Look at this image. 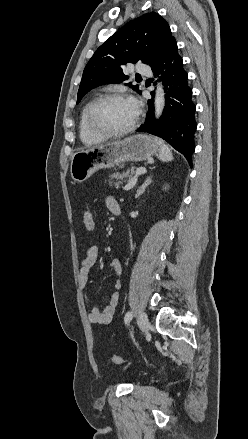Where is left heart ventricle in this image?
Returning a JSON list of instances; mask_svg holds the SVG:
<instances>
[{"label":"left heart ventricle","instance_id":"left-heart-ventricle-1","mask_svg":"<svg viewBox=\"0 0 248 439\" xmlns=\"http://www.w3.org/2000/svg\"><path fill=\"white\" fill-rule=\"evenodd\" d=\"M136 112L130 100H110L99 107L96 119L106 129L122 130L134 121Z\"/></svg>","mask_w":248,"mask_h":439}]
</instances>
